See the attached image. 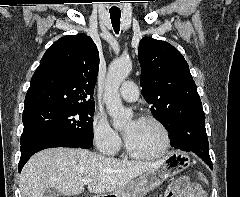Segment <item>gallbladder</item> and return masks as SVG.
<instances>
[{
	"label": "gallbladder",
	"mask_w": 240,
	"mask_h": 197,
	"mask_svg": "<svg viewBox=\"0 0 240 197\" xmlns=\"http://www.w3.org/2000/svg\"><path fill=\"white\" fill-rule=\"evenodd\" d=\"M43 197H60V193L55 188L47 189Z\"/></svg>",
	"instance_id": "1"
}]
</instances>
